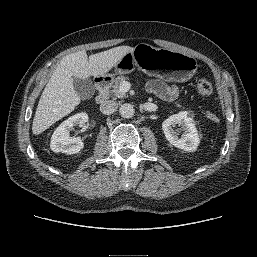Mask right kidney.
<instances>
[{
  "label": "right kidney",
  "instance_id": "obj_1",
  "mask_svg": "<svg viewBox=\"0 0 257 257\" xmlns=\"http://www.w3.org/2000/svg\"><path fill=\"white\" fill-rule=\"evenodd\" d=\"M88 115L85 112L77 113L62 122L54 131L50 148L55 153H65L68 155L80 152L84 143L79 137H70V131L74 126H82L87 128Z\"/></svg>",
  "mask_w": 257,
  "mask_h": 257
}]
</instances>
